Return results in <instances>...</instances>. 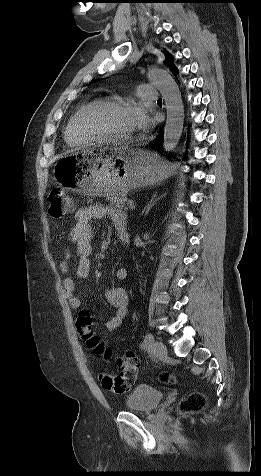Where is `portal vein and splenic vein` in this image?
<instances>
[{
  "instance_id": "portal-vein-and-splenic-vein-1",
  "label": "portal vein and splenic vein",
  "mask_w": 261,
  "mask_h": 476,
  "mask_svg": "<svg viewBox=\"0 0 261 476\" xmlns=\"http://www.w3.org/2000/svg\"><path fill=\"white\" fill-rule=\"evenodd\" d=\"M128 207H129V209H132V210L135 209V203H134V201L130 200V201L128 202Z\"/></svg>"
}]
</instances>
